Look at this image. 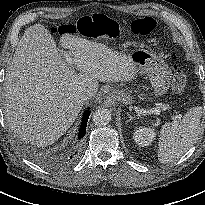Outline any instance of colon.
<instances>
[{"label": "colon", "mask_w": 205, "mask_h": 205, "mask_svg": "<svg viewBox=\"0 0 205 205\" xmlns=\"http://www.w3.org/2000/svg\"><path fill=\"white\" fill-rule=\"evenodd\" d=\"M157 29V22L152 17L138 18L131 24V30L134 34L140 36H149ZM51 31L54 35H74L77 32L87 38L103 39L112 35L114 25L103 14H92L91 16L84 17V21L78 26L74 24H62L53 26ZM170 59L173 62V78L171 81L172 90L175 93H181L187 83L186 75L180 68L177 62L178 56L176 53L170 54Z\"/></svg>", "instance_id": "colon-1"}]
</instances>
